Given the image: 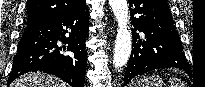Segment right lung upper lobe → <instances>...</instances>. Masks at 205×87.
I'll list each match as a JSON object with an SVG mask.
<instances>
[{
	"label": "right lung upper lobe",
	"instance_id": "right-lung-upper-lobe-1",
	"mask_svg": "<svg viewBox=\"0 0 205 87\" xmlns=\"http://www.w3.org/2000/svg\"><path fill=\"white\" fill-rule=\"evenodd\" d=\"M84 4L85 0H27L26 24L64 15Z\"/></svg>",
	"mask_w": 205,
	"mask_h": 87
}]
</instances>
